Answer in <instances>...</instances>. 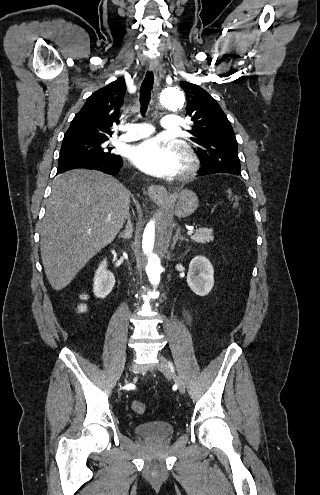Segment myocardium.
Instances as JSON below:
<instances>
[{"instance_id": "obj_1", "label": "myocardium", "mask_w": 320, "mask_h": 495, "mask_svg": "<svg viewBox=\"0 0 320 495\" xmlns=\"http://www.w3.org/2000/svg\"><path fill=\"white\" fill-rule=\"evenodd\" d=\"M181 166L178 171V177L185 178L194 173L198 167V160L193 151L185 144L179 143L175 146Z\"/></svg>"}]
</instances>
